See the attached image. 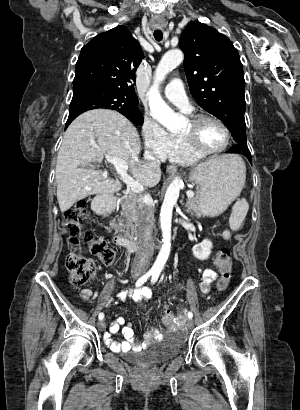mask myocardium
<instances>
[{
    "mask_svg": "<svg viewBox=\"0 0 300 410\" xmlns=\"http://www.w3.org/2000/svg\"><path fill=\"white\" fill-rule=\"evenodd\" d=\"M206 120L216 122L223 129L225 136H226V140L222 147L218 149H214V150H203L199 146V143L196 138V128L201 122L206 121ZM189 123L191 126L190 132L187 134H182L180 137L184 141L187 148L195 155L201 158L207 157L210 155L221 153L224 150H226L227 147L229 146L230 141H231V131L229 127L227 126V124L220 118L214 115H211V114H197L190 118Z\"/></svg>",
    "mask_w": 300,
    "mask_h": 410,
    "instance_id": "f54148a6",
    "label": "myocardium"
}]
</instances>
